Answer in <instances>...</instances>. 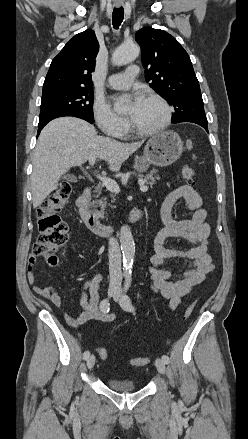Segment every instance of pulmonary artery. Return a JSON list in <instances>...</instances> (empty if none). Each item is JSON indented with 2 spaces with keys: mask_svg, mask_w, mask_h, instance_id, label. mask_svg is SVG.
I'll list each match as a JSON object with an SVG mask.
<instances>
[{
  "mask_svg": "<svg viewBox=\"0 0 248 439\" xmlns=\"http://www.w3.org/2000/svg\"><path fill=\"white\" fill-rule=\"evenodd\" d=\"M138 74L136 65L129 66L125 72L111 75L107 80V85L114 89H124L131 85Z\"/></svg>",
  "mask_w": 248,
  "mask_h": 439,
  "instance_id": "obj_1",
  "label": "pulmonary artery"
}]
</instances>
